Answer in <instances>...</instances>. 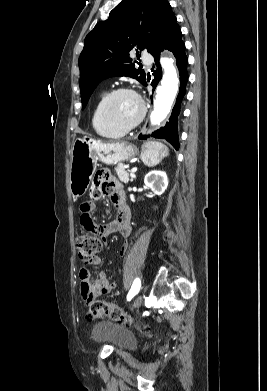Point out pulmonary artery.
I'll return each mask as SVG.
<instances>
[{"label":"pulmonary artery","mask_w":267,"mask_h":391,"mask_svg":"<svg viewBox=\"0 0 267 391\" xmlns=\"http://www.w3.org/2000/svg\"><path fill=\"white\" fill-rule=\"evenodd\" d=\"M142 60H143V62H144L145 64L150 65V64L152 63V61H153V58H152V56L149 55V54H144V55L142 56Z\"/></svg>","instance_id":"obj_1"}]
</instances>
